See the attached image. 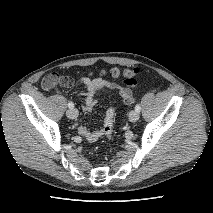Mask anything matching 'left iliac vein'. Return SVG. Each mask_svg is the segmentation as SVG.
Listing matches in <instances>:
<instances>
[{"label": "left iliac vein", "instance_id": "1", "mask_svg": "<svg viewBox=\"0 0 213 213\" xmlns=\"http://www.w3.org/2000/svg\"><path fill=\"white\" fill-rule=\"evenodd\" d=\"M139 119V112H137L136 110H132L129 113V120L131 122H136Z\"/></svg>", "mask_w": 213, "mask_h": 213}]
</instances>
